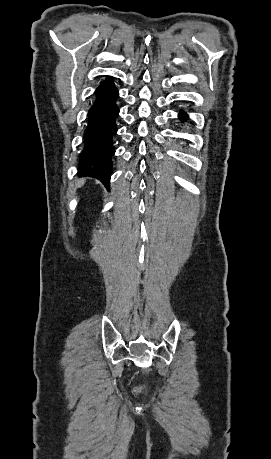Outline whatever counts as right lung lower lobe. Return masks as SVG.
Returning a JSON list of instances; mask_svg holds the SVG:
<instances>
[{
  "instance_id": "obj_1",
  "label": "right lung lower lobe",
  "mask_w": 271,
  "mask_h": 459,
  "mask_svg": "<svg viewBox=\"0 0 271 459\" xmlns=\"http://www.w3.org/2000/svg\"><path fill=\"white\" fill-rule=\"evenodd\" d=\"M96 100L88 111L87 126L83 136L78 174L94 177L109 186L112 173V156L115 153L113 137L119 114L115 100L118 97L113 78L107 77L95 91Z\"/></svg>"
}]
</instances>
